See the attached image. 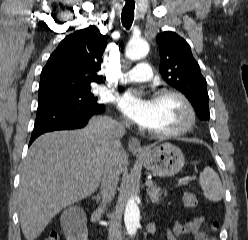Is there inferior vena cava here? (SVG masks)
Listing matches in <instances>:
<instances>
[{"mask_svg": "<svg viewBox=\"0 0 248 240\" xmlns=\"http://www.w3.org/2000/svg\"><path fill=\"white\" fill-rule=\"evenodd\" d=\"M125 125H128L127 121L122 123L113 121L106 128L107 154L101 179V209H105V205L112 200L116 193L119 171L116 167L114 153L121 147L120 139L125 134Z\"/></svg>", "mask_w": 248, "mask_h": 240, "instance_id": "obj_1", "label": "inferior vena cava"}]
</instances>
